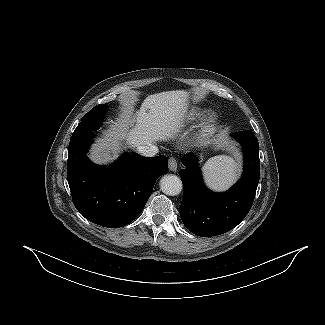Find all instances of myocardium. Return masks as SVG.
Instances as JSON below:
<instances>
[{
    "label": "myocardium",
    "instance_id": "obj_1",
    "mask_svg": "<svg viewBox=\"0 0 325 325\" xmlns=\"http://www.w3.org/2000/svg\"><path fill=\"white\" fill-rule=\"evenodd\" d=\"M217 122V116L215 113L206 114L199 125V137H206L209 135Z\"/></svg>",
    "mask_w": 325,
    "mask_h": 325
}]
</instances>
